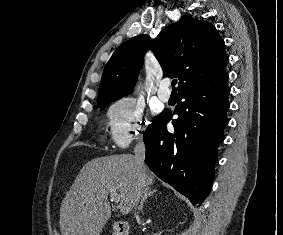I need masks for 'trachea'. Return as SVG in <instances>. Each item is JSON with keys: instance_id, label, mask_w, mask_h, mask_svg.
Segmentation results:
<instances>
[{"instance_id": "1", "label": "trachea", "mask_w": 283, "mask_h": 235, "mask_svg": "<svg viewBox=\"0 0 283 235\" xmlns=\"http://www.w3.org/2000/svg\"><path fill=\"white\" fill-rule=\"evenodd\" d=\"M176 83H177V80H176V79H174V80L172 81V83H171V85H172V87H173V90H176V87H175Z\"/></svg>"}]
</instances>
